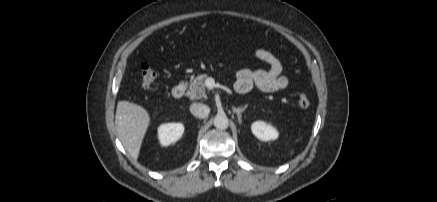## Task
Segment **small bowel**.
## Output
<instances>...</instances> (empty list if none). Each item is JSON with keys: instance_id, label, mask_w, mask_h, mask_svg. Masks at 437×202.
I'll list each match as a JSON object with an SVG mask.
<instances>
[{"instance_id": "c3829d8e", "label": "small bowel", "mask_w": 437, "mask_h": 202, "mask_svg": "<svg viewBox=\"0 0 437 202\" xmlns=\"http://www.w3.org/2000/svg\"><path fill=\"white\" fill-rule=\"evenodd\" d=\"M254 56L268 65V69L250 70L247 68L237 72L234 89L239 94L248 93L253 88L262 92H278L287 88L288 79L282 74V64L269 50L258 48Z\"/></svg>"}]
</instances>
